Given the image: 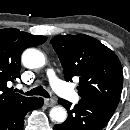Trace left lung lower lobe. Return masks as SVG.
I'll return each mask as SVG.
<instances>
[{"label":"left lung lower lobe","mask_w":130,"mask_h":130,"mask_svg":"<svg viewBox=\"0 0 130 130\" xmlns=\"http://www.w3.org/2000/svg\"><path fill=\"white\" fill-rule=\"evenodd\" d=\"M58 103L68 110V118L55 125L54 130H102L113 115L105 107L90 101L80 100L74 107L64 99H59Z\"/></svg>","instance_id":"obj_1"}]
</instances>
